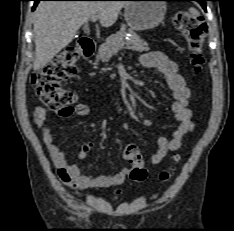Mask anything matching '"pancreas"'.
Listing matches in <instances>:
<instances>
[{"mask_svg": "<svg viewBox=\"0 0 234 231\" xmlns=\"http://www.w3.org/2000/svg\"><path fill=\"white\" fill-rule=\"evenodd\" d=\"M126 31L127 28L123 26L118 32L108 37L106 42L99 48L96 60L107 62L124 47L139 52L147 51L149 49L147 43L130 29L128 30L130 33L129 39L126 40Z\"/></svg>", "mask_w": 234, "mask_h": 231, "instance_id": "obj_1", "label": "pancreas"}]
</instances>
